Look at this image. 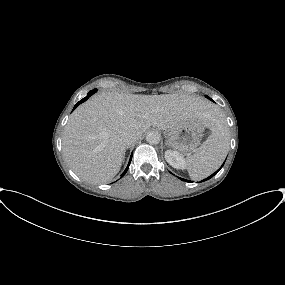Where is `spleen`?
I'll use <instances>...</instances> for the list:
<instances>
[{"mask_svg": "<svg viewBox=\"0 0 285 285\" xmlns=\"http://www.w3.org/2000/svg\"><path fill=\"white\" fill-rule=\"evenodd\" d=\"M210 130L212 133L196 150L195 154L186 159V168L193 180L206 178L216 171L229 151V129L220 112H218L214 127Z\"/></svg>", "mask_w": 285, "mask_h": 285, "instance_id": "1", "label": "spleen"}]
</instances>
